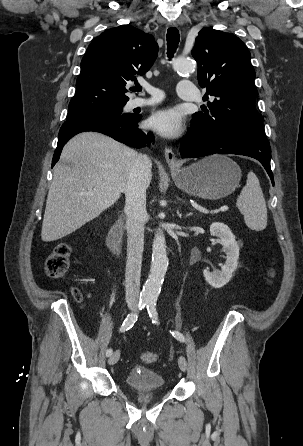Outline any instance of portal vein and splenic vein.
Listing matches in <instances>:
<instances>
[{
	"label": "portal vein and splenic vein",
	"mask_w": 303,
	"mask_h": 446,
	"mask_svg": "<svg viewBox=\"0 0 303 446\" xmlns=\"http://www.w3.org/2000/svg\"><path fill=\"white\" fill-rule=\"evenodd\" d=\"M228 209H229L228 206H222V207H220L219 210H220L221 212H226Z\"/></svg>",
	"instance_id": "obj_1"
}]
</instances>
